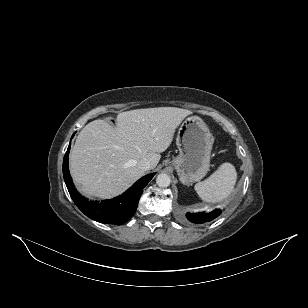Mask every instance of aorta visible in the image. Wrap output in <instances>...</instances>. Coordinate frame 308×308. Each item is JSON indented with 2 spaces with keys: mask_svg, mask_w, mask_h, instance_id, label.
<instances>
[{
  "mask_svg": "<svg viewBox=\"0 0 308 308\" xmlns=\"http://www.w3.org/2000/svg\"><path fill=\"white\" fill-rule=\"evenodd\" d=\"M171 179L170 176L166 173H161L156 178V184L159 187L166 188L170 185Z\"/></svg>",
  "mask_w": 308,
  "mask_h": 308,
  "instance_id": "1",
  "label": "aorta"
}]
</instances>
